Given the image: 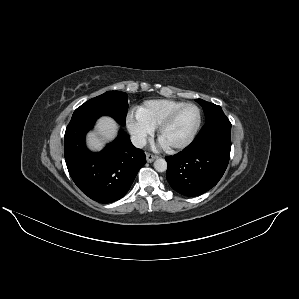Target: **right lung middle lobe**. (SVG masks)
Returning <instances> with one entry per match:
<instances>
[{
  "mask_svg": "<svg viewBox=\"0 0 299 299\" xmlns=\"http://www.w3.org/2000/svg\"><path fill=\"white\" fill-rule=\"evenodd\" d=\"M127 110V94L120 91H108L86 101L78 107L74 111L71 120L77 118L111 116L120 125H125Z\"/></svg>",
  "mask_w": 299,
  "mask_h": 299,
  "instance_id": "right-lung-middle-lobe-1",
  "label": "right lung middle lobe"
}]
</instances>
